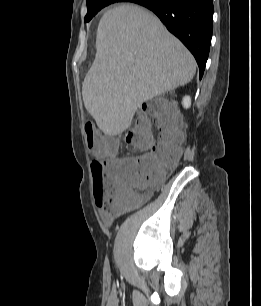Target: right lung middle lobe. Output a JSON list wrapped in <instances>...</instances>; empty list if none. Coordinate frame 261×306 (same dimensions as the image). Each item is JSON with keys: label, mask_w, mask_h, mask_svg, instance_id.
Wrapping results in <instances>:
<instances>
[{"label": "right lung middle lobe", "mask_w": 261, "mask_h": 306, "mask_svg": "<svg viewBox=\"0 0 261 306\" xmlns=\"http://www.w3.org/2000/svg\"><path fill=\"white\" fill-rule=\"evenodd\" d=\"M115 0H89L87 1L88 12L85 16V22H89L102 8L116 3Z\"/></svg>", "instance_id": "obj_1"}]
</instances>
